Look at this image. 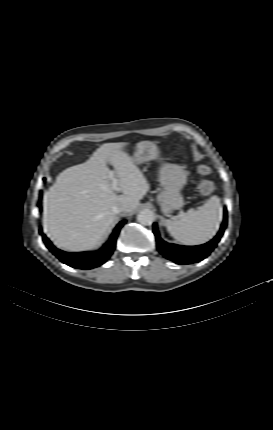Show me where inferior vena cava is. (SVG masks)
<instances>
[{
  "instance_id": "inferior-vena-cava-1",
  "label": "inferior vena cava",
  "mask_w": 273,
  "mask_h": 430,
  "mask_svg": "<svg viewBox=\"0 0 273 430\" xmlns=\"http://www.w3.org/2000/svg\"><path fill=\"white\" fill-rule=\"evenodd\" d=\"M112 211L114 214H118L124 211V205L122 203H116L112 206Z\"/></svg>"
}]
</instances>
